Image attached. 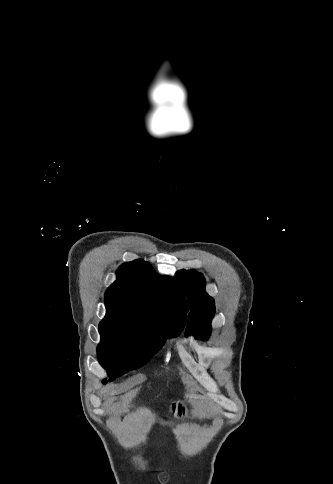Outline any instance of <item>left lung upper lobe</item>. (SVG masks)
I'll use <instances>...</instances> for the list:
<instances>
[{"label": "left lung upper lobe", "instance_id": "left-lung-upper-lobe-1", "mask_svg": "<svg viewBox=\"0 0 333 484\" xmlns=\"http://www.w3.org/2000/svg\"><path fill=\"white\" fill-rule=\"evenodd\" d=\"M176 276L185 291L191 310L187 334L207 339L211 330V320L215 314V303L205 291L204 277L195 270H180Z\"/></svg>", "mask_w": 333, "mask_h": 484}]
</instances>
